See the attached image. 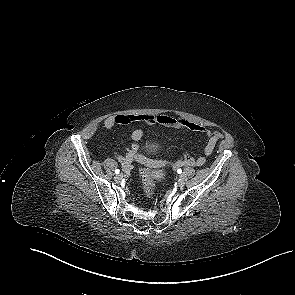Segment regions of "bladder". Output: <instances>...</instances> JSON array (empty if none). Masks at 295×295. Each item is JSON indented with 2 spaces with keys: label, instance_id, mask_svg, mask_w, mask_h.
<instances>
[{
  "label": "bladder",
  "instance_id": "obj_1",
  "mask_svg": "<svg viewBox=\"0 0 295 295\" xmlns=\"http://www.w3.org/2000/svg\"><path fill=\"white\" fill-rule=\"evenodd\" d=\"M156 149L155 145H149L147 148H146V152L147 153H152L154 152Z\"/></svg>",
  "mask_w": 295,
  "mask_h": 295
}]
</instances>
